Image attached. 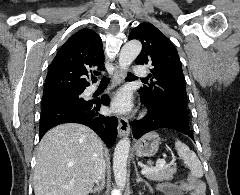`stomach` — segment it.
<instances>
[{"label":"stomach","mask_w":240,"mask_h":195,"mask_svg":"<svg viewBox=\"0 0 240 195\" xmlns=\"http://www.w3.org/2000/svg\"><path fill=\"white\" fill-rule=\"evenodd\" d=\"M160 143L161 141L158 133H156V131H149V133H146V135L137 139L134 145L136 155H140V157H150V155H155Z\"/></svg>","instance_id":"obj_1"}]
</instances>
